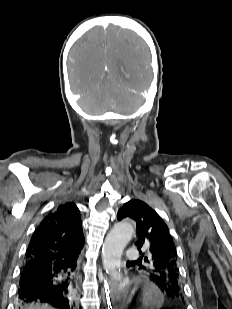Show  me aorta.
<instances>
[{
  "label": "aorta",
  "mask_w": 232,
  "mask_h": 309,
  "mask_svg": "<svg viewBox=\"0 0 232 309\" xmlns=\"http://www.w3.org/2000/svg\"><path fill=\"white\" fill-rule=\"evenodd\" d=\"M133 233V223L125 221L116 224L105 239L102 249L103 267L115 280H121V257Z\"/></svg>",
  "instance_id": "1"
}]
</instances>
